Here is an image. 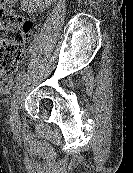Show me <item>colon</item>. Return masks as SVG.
Wrapping results in <instances>:
<instances>
[{
  "mask_svg": "<svg viewBox=\"0 0 133 173\" xmlns=\"http://www.w3.org/2000/svg\"><path fill=\"white\" fill-rule=\"evenodd\" d=\"M14 0H0V89L8 92L24 61L33 21L8 8Z\"/></svg>",
  "mask_w": 133,
  "mask_h": 173,
  "instance_id": "colon-1",
  "label": "colon"
}]
</instances>
